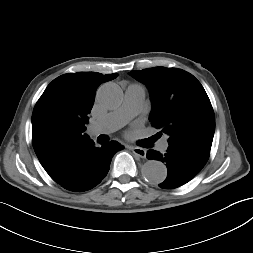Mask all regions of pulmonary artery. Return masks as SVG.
Listing matches in <instances>:
<instances>
[{"label":"pulmonary artery","instance_id":"obj_1","mask_svg":"<svg viewBox=\"0 0 253 253\" xmlns=\"http://www.w3.org/2000/svg\"><path fill=\"white\" fill-rule=\"evenodd\" d=\"M144 98V87L138 84H130L125 90L124 101L121 107L92 123L88 132L91 135H100L116 131L140 112ZM168 146V138L165 137L160 141L158 148L164 152Z\"/></svg>","mask_w":253,"mask_h":253}]
</instances>
